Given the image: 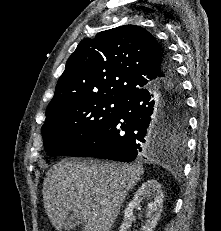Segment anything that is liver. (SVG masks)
<instances>
[{"mask_svg": "<svg viewBox=\"0 0 221 231\" xmlns=\"http://www.w3.org/2000/svg\"><path fill=\"white\" fill-rule=\"evenodd\" d=\"M143 173L140 164L62 160L46 173L44 208L57 230L74 212L82 218L83 231H110L127 193Z\"/></svg>", "mask_w": 221, "mask_h": 231, "instance_id": "6515ba94", "label": "liver"}]
</instances>
